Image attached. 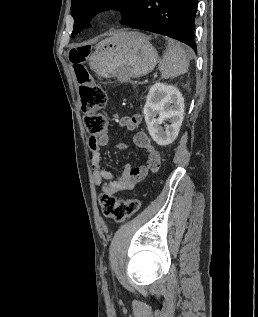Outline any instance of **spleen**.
<instances>
[{
  "label": "spleen",
  "instance_id": "spleen-1",
  "mask_svg": "<svg viewBox=\"0 0 258 317\" xmlns=\"http://www.w3.org/2000/svg\"><path fill=\"white\" fill-rule=\"evenodd\" d=\"M192 56V48H184L179 42L169 38L168 48L159 64V70L162 72L161 78H170V76L173 78V76L187 72Z\"/></svg>",
  "mask_w": 258,
  "mask_h": 317
}]
</instances>
